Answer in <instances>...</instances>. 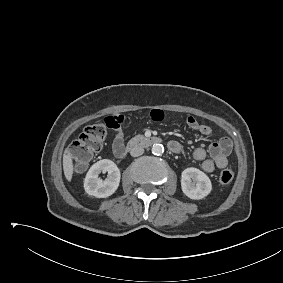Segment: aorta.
<instances>
[{
	"label": "aorta",
	"instance_id": "762f6f07",
	"mask_svg": "<svg viewBox=\"0 0 283 283\" xmlns=\"http://www.w3.org/2000/svg\"><path fill=\"white\" fill-rule=\"evenodd\" d=\"M152 153L154 154V155H162L163 154V152H164V147H163V145L162 144H159V143H156V144H153V146H152Z\"/></svg>",
	"mask_w": 283,
	"mask_h": 283
}]
</instances>
